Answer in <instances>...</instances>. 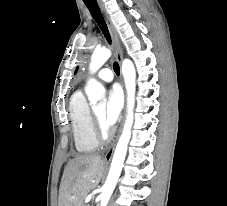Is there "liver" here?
Instances as JSON below:
<instances>
[{
	"instance_id": "6515ba94",
	"label": "liver",
	"mask_w": 227,
	"mask_h": 206,
	"mask_svg": "<svg viewBox=\"0 0 227 206\" xmlns=\"http://www.w3.org/2000/svg\"><path fill=\"white\" fill-rule=\"evenodd\" d=\"M104 172L100 155H79L65 167L60 188L58 206H82L87 194L93 190Z\"/></svg>"
}]
</instances>
